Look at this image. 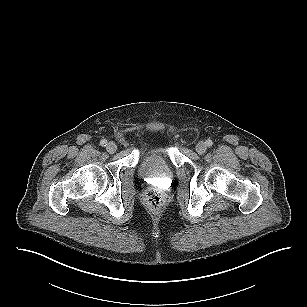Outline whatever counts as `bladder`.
<instances>
[{
  "label": "bladder",
  "instance_id": "bladder-1",
  "mask_svg": "<svg viewBox=\"0 0 307 307\" xmlns=\"http://www.w3.org/2000/svg\"><path fill=\"white\" fill-rule=\"evenodd\" d=\"M138 170L144 178L170 180L173 177V169L159 151L145 154L139 162Z\"/></svg>",
  "mask_w": 307,
  "mask_h": 307
}]
</instances>
